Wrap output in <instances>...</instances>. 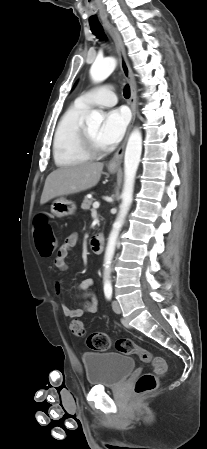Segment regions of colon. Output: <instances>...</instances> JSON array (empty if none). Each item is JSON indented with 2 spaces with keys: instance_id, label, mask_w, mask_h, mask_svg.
Returning a JSON list of instances; mask_svg holds the SVG:
<instances>
[{
  "instance_id": "colon-1",
  "label": "colon",
  "mask_w": 207,
  "mask_h": 449,
  "mask_svg": "<svg viewBox=\"0 0 207 449\" xmlns=\"http://www.w3.org/2000/svg\"><path fill=\"white\" fill-rule=\"evenodd\" d=\"M34 240L36 248L42 257H50L57 247V239L52 227L43 219L37 218L34 228ZM71 333L77 337L85 335L83 322L78 318H73L69 322ZM87 345L95 351H106L111 346L109 336L103 332L91 333L87 337ZM117 352L124 355H136L142 362L153 366V372L143 373L136 381L134 391L137 395H144L152 392L157 387V378L167 372L165 360L146 350L132 340L122 338L114 343Z\"/></svg>"
}]
</instances>
